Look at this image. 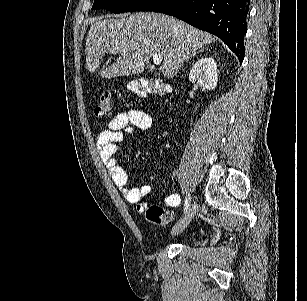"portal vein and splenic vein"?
Listing matches in <instances>:
<instances>
[{
  "mask_svg": "<svg viewBox=\"0 0 307 301\" xmlns=\"http://www.w3.org/2000/svg\"><path fill=\"white\" fill-rule=\"evenodd\" d=\"M122 52H125L126 48H120ZM162 62L161 54H153V64H160Z\"/></svg>",
  "mask_w": 307,
  "mask_h": 301,
  "instance_id": "obj_1",
  "label": "portal vein and splenic vein"
}]
</instances>
